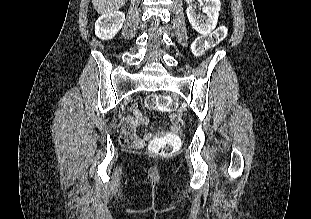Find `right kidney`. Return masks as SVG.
I'll return each instance as SVG.
<instances>
[{"label":"right kidney","instance_id":"1","mask_svg":"<svg viewBox=\"0 0 311 219\" xmlns=\"http://www.w3.org/2000/svg\"><path fill=\"white\" fill-rule=\"evenodd\" d=\"M125 14L114 11L102 15L95 23V34L103 40L112 39L122 28Z\"/></svg>","mask_w":311,"mask_h":219}]
</instances>
